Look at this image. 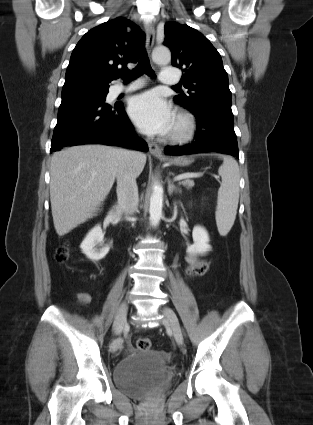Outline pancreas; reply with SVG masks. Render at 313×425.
<instances>
[{"label":"pancreas","mask_w":313,"mask_h":425,"mask_svg":"<svg viewBox=\"0 0 313 425\" xmlns=\"http://www.w3.org/2000/svg\"><path fill=\"white\" fill-rule=\"evenodd\" d=\"M179 184L185 186L187 189H190V188L194 187V185H195L194 181L189 180V179H186V180L180 182Z\"/></svg>","instance_id":"cf45deb5"}]
</instances>
